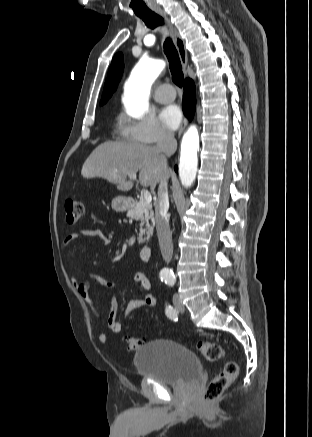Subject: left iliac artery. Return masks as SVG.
<instances>
[{
    "label": "left iliac artery",
    "instance_id": "44dca946",
    "mask_svg": "<svg viewBox=\"0 0 312 437\" xmlns=\"http://www.w3.org/2000/svg\"><path fill=\"white\" fill-rule=\"evenodd\" d=\"M163 280L169 286H173L174 283H175V279L174 278H169V277H166V278L164 277L163 278V277H161V281H163ZM165 313L171 319L177 318V312H176V310L171 305H166Z\"/></svg>",
    "mask_w": 312,
    "mask_h": 437
}]
</instances>
